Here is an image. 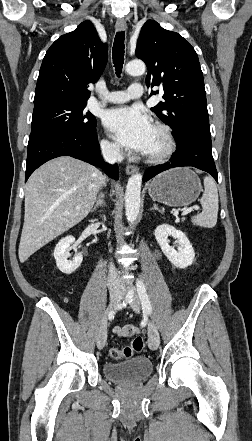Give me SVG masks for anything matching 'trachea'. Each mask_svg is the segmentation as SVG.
Here are the masks:
<instances>
[{
  "label": "trachea",
  "instance_id": "3493384b",
  "mask_svg": "<svg viewBox=\"0 0 252 441\" xmlns=\"http://www.w3.org/2000/svg\"><path fill=\"white\" fill-rule=\"evenodd\" d=\"M124 40H125L124 31L117 32L114 39L112 57H113V64L118 77H120L124 63V52H125Z\"/></svg>",
  "mask_w": 252,
  "mask_h": 441
}]
</instances>
